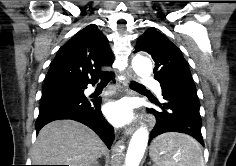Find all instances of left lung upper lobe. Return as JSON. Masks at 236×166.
Wrapping results in <instances>:
<instances>
[{"instance_id":"5c2ea615","label":"left lung upper lobe","mask_w":236,"mask_h":166,"mask_svg":"<svg viewBox=\"0 0 236 166\" xmlns=\"http://www.w3.org/2000/svg\"><path fill=\"white\" fill-rule=\"evenodd\" d=\"M145 51L155 61V79L162 83L174 80L191 81L192 76L180 49L155 28H149L138 38L134 52Z\"/></svg>"}]
</instances>
